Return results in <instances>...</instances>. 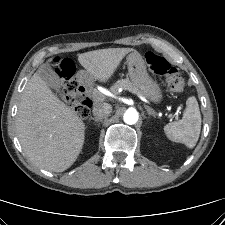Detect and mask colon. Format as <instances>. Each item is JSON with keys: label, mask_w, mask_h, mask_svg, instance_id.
Returning a JSON list of instances; mask_svg holds the SVG:
<instances>
[{"label": "colon", "mask_w": 225, "mask_h": 225, "mask_svg": "<svg viewBox=\"0 0 225 225\" xmlns=\"http://www.w3.org/2000/svg\"><path fill=\"white\" fill-rule=\"evenodd\" d=\"M145 60L152 72L165 77L167 90L169 92L180 93L184 90L185 83L182 75L164 57L153 52H147ZM55 69L62 81V92L69 105L79 117H88L92 102L81 91L79 83L74 75V63L69 59L59 60L55 65Z\"/></svg>", "instance_id": "obj_1"}]
</instances>
